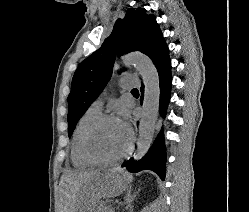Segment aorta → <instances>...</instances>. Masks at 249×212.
Listing matches in <instances>:
<instances>
[{"label": "aorta", "instance_id": "1", "mask_svg": "<svg viewBox=\"0 0 249 212\" xmlns=\"http://www.w3.org/2000/svg\"><path fill=\"white\" fill-rule=\"evenodd\" d=\"M125 65L135 66L144 83L142 115L139 123L135 159L140 160L147 153L154 138L160 102V79L150 58L141 53H130L122 58Z\"/></svg>", "mask_w": 249, "mask_h": 212}]
</instances>
